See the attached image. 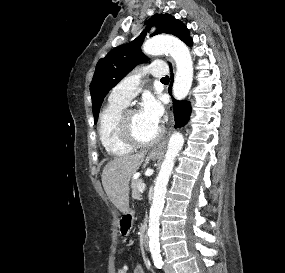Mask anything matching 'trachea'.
I'll return each instance as SVG.
<instances>
[{"label": "trachea", "instance_id": "1", "mask_svg": "<svg viewBox=\"0 0 285 273\" xmlns=\"http://www.w3.org/2000/svg\"><path fill=\"white\" fill-rule=\"evenodd\" d=\"M161 80H169V77H163Z\"/></svg>", "mask_w": 285, "mask_h": 273}]
</instances>
